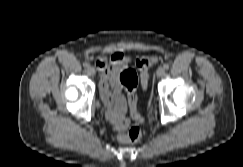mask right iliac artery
Returning a JSON list of instances; mask_svg holds the SVG:
<instances>
[{"mask_svg":"<svg viewBox=\"0 0 243 167\" xmlns=\"http://www.w3.org/2000/svg\"><path fill=\"white\" fill-rule=\"evenodd\" d=\"M83 66H84L85 68H88V67H89V63H88V62H84V63H83Z\"/></svg>","mask_w":243,"mask_h":167,"instance_id":"obj_1","label":"right iliac artery"}]
</instances>
